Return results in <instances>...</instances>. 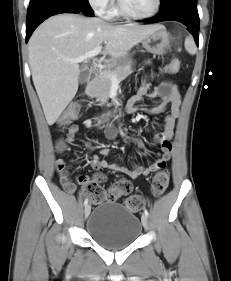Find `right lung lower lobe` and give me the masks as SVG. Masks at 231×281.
<instances>
[{
    "label": "right lung lower lobe",
    "instance_id": "obj_1",
    "mask_svg": "<svg viewBox=\"0 0 231 281\" xmlns=\"http://www.w3.org/2000/svg\"><path fill=\"white\" fill-rule=\"evenodd\" d=\"M60 13H83L94 16L87 0H30L26 21V42L45 19Z\"/></svg>",
    "mask_w": 231,
    "mask_h": 281
}]
</instances>
